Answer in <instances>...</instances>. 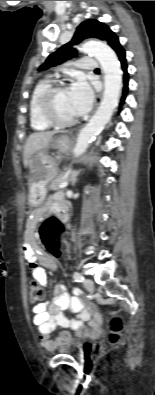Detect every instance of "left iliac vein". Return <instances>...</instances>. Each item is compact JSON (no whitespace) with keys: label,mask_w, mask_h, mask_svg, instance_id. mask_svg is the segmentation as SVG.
Listing matches in <instances>:
<instances>
[{"label":"left iliac vein","mask_w":155,"mask_h":395,"mask_svg":"<svg viewBox=\"0 0 155 395\" xmlns=\"http://www.w3.org/2000/svg\"><path fill=\"white\" fill-rule=\"evenodd\" d=\"M83 284L88 291L92 292L94 290V282L90 278H86Z\"/></svg>","instance_id":"4c4485c4"}]
</instances>
